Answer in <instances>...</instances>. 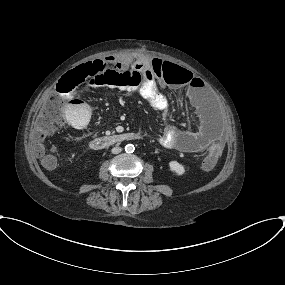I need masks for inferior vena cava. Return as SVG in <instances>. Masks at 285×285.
I'll list each match as a JSON object with an SVG mask.
<instances>
[{
	"mask_svg": "<svg viewBox=\"0 0 285 285\" xmlns=\"http://www.w3.org/2000/svg\"><path fill=\"white\" fill-rule=\"evenodd\" d=\"M122 151V148L121 147H114L112 150H111V152L113 153V154H118V153H120Z\"/></svg>",
	"mask_w": 285,
	"mask_h": 285,
	"instance_id": "602c4592",
	"label": "inferior vena cava"
}]
</instances>
